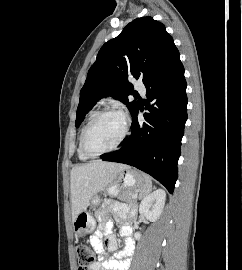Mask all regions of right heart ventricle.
<instances>
[{
    "label": "right heart ventricle",
    "instance_id": "e07e8e85",
    "mask_svg": "<svg viewBox=\"0 0 242 270\" xmlns=\"http://www.w3.org/2000/svg\"><path fill=\"white\" fill-rule=\"evenodd\" d=\"M96 114V112H91L88 116V118L86 119L83 127L81 128V131H80V135H79V140H78V148H77V154H78V157L81 159V160H87L89 159L88 156L84 155L83 152L81 151V148H80V140H81V136H82V133L86 127V125L89 123V121L93 118V116Z\"/></svg>",
    "mask_w": 242,
    "mask_h": 270
}]
</instances>
